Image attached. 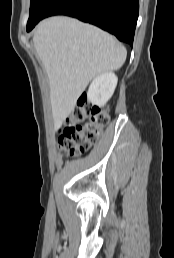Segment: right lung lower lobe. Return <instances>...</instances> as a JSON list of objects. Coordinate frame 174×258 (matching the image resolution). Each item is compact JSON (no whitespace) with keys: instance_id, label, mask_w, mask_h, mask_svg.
<instances>
[{"instance_id":"98d812e1","label":"right lung lower lobe","mask_w":174,"mask_h":258,"mask_svg":"<svg viewBox=\"0 0 174 258\" xmlns=\"http://www.w3.org/2000/svg\"><path fill=\"white\" fill-rule=\"evenodd\" d=\"M139 0H57L45 18L66 15L100 27L133 45Z\"/></svg>"}]
</instances>
